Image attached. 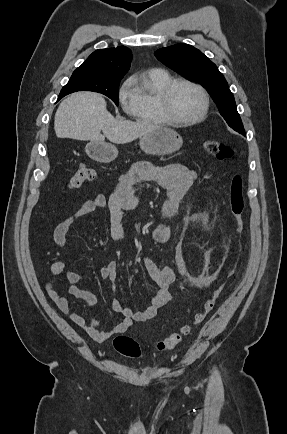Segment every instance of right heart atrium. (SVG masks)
I'll use <instances>...</instances> for the list:
<instances>
[{
    "label": "right heart atrium",
    "mask_w": 287,
    "mask_h": 434,
    "mask_svg": "<svg viewBox=\"0 0 287 434\" xmlns=\"http://www.w3.org/2000/svg\"><path fill=\"white\" fill-rule=\"evenodd\" d=\"M118 99L123 108L127 113H130L137 103V95L134 90V78L129 77L122 84L118 91Z\"/></svg>",
    "instance_id": "1"
}]
</instances>
